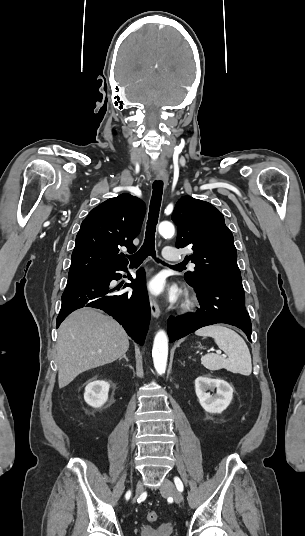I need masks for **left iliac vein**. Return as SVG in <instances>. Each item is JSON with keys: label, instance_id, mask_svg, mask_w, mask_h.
Segmentation results:
<instances>
[{"label": "left iliac vein", "instance_id": "left-iliac-vein-1", "mask_svg": "<svg viewBox=\"0 0 305 536\" xmlns=\"http://www.w3.org/2000/svg\"><path fill=\"white\" fill-rule=\"evenodd\" d=\"M160 492L165 496H171L177 503L182 502L183 496L181 492L175 487L174 483L165 478L163 484L160 487Z\"/></svg>", "mask_w": 305, "mask_h": 536}]
</instances>
